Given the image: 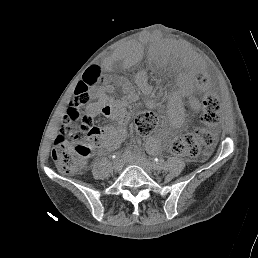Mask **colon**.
I'll return each instance as SVG.
<instances>
[{"instance_id":"1","label":"colon","mask_w":258,"mask_h":258,"mask_svg":"<svg viewBox=\"0 0 258 258\" xmlns=\"http://www.w3.org/2000/svg\"><path fill=\"white\" fill-rule=\"evenodd\" d=\"M102 71L91 66L83 81L76 87L75 97L67 108L60 132L55 140L52 158L60 172L75 174L80 172L90 152L100 143L101 130L92 126L90 120L83 118L81 107L89 101V89L97 84ZM220 104L216 97L206 95L203 100L202 120L205 127L195 133L177 137L171 142V151L177 155L198 157L203 147L215 142L214 130L219 121ZM157 125L153 112H143L136 117V129L141 135L151 133Z\"/></svg>"}]
</instances>
